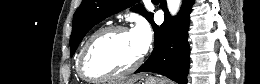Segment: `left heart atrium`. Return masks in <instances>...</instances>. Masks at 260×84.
<instances>
[{
  "label": "left heart atrium",
  "instance_id": "39dd6f15",
  "mask_svg": "<svg viewBox=\"0 0 260 84\" xmlns=\"http://www.w3.org/2000/svg\"><path fill=\"white\" fill-rule=\"evenodd\" d=\"M141 54L146 53L152 42V31L148 23L139 20L131 32Z\"/></svg>",
  "mask_w": 260,
  "mask_h": 84
}]
</instances>
